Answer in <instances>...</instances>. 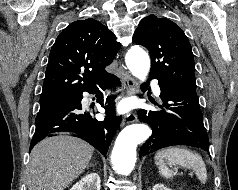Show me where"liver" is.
Segmentation results:
<instances>
[{
  "label": "liver",
  "mask_w": 238,
  "mask_h": 190,
  "mask_svg": "<svg viewBox=\"0 0 238 190\" xmlns=\"http://www.w3.org/2000/svg\"><path fill=\"white\" fill-rule=\"evenodd\" d=\"M93 147L67 134L45 138L31 151L28 190H64L89 164Z\"/></svg>",
  "instance_id": "6515ba94"
}]
</instances>
